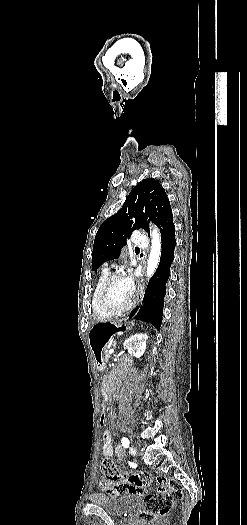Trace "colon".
<instances>
[{"label": "colon", "mask_w": 247, "mask_h": 525, "mask_svg": "<svg viewBox=\"0 0 247 525\" xmlns=\"http://www.w3.org/2000/svg\"><path fill=\"white\" fill-rule=\"evenodd\" d=\"M99 427H107L105 414H100ZM100 471L107 481L118 484L115 496L140 495L143 498V510L140 517L143 522L163 520L171 509L172 503L184 498V490L179 482L168 480L163 476L152 478L147 472H133L126 476L118 473L109 459H103Z\"/></svg>", "instance_id": "obj_1"}]
</instances>
